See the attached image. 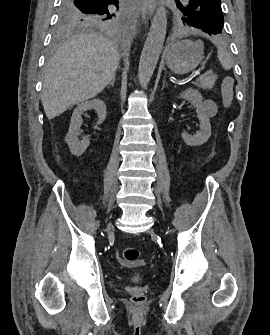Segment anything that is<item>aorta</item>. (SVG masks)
I'll return each mask as SVG.
<instances>
[{"mask_svg":"<svg viewBox=\"0 0 270 335\" xmlns=\"http://www.w3.org/2000/svg\"><path fill=\"white\" fill-rule=\"evenodd\" d=\"M167 28V14L164 6H158L142 50L138 78L141 86L146 88L163 48Z\"/></svg>","mask_w":270,"mask_h":335,"instance_id":"obj_1","label":"aorta"}]
</instances>
